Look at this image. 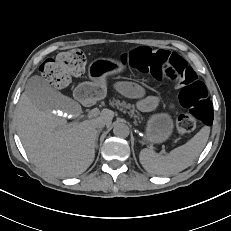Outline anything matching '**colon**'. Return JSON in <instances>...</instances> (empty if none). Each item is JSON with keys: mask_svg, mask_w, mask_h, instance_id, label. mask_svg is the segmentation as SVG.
I'll return each instance as SVG.
<instances>
[{"mask_svg": "<svg viewBox=\"0 0 231 231\" xmlns=\"http://www.w3.org/2000/svg\"><path fill=\"white\" fill-rule=\"evenodd\" d=\"M122 61L156 79H166L180 89L179 101L186 112L177 119V134L190 133L199 123L211 124L213 109L207 88L185 58L168 50L139 47L123 54ZM85 66V53L74 49L47 59L40 71L50 84L64 87L73 77L80 75Z\"/></svg>", "mask_w": 231, "mask_h": 231, "instance_id": "colon-1", "label": "colon"}]
</instances>
